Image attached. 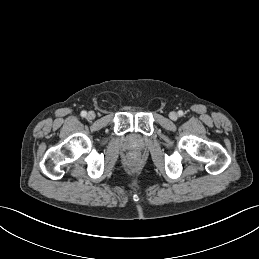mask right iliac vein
Returning <instances> with one entry per match:
<instances>
[{"mask_svg":"<svg viewBox=\"0 0 259 259\" xmlns=\"http://www.w3.org/2000/svg\"><path fill=\"white\" fill-rule=\"evenodd\" d=\"M87 117H88V119L92 120L95 118V113L93 111H89Z\"/></svg>","mask_w":259,"mask_h":259,"instance_id":"1","label":"right iliac vein"}]
</instances>
